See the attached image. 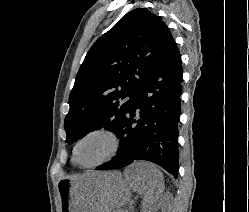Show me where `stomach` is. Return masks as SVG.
<instances>
[{"instance_id": "stomach-1", "label": "stomach", "mask_w": 249, "mask_h": 212, "mask_svg": "<svg viewBox=\"0 0 249 212\" xmlns=\"http://www.w3.org/2000/svg\"><path fill=\"white\" fill-rule=\"evenodd\" d=\"M121 170H87V175H71L59 180L57 190L61 212H109L127 204L134 184H124Z\"/></svg>"}]
</instances>
